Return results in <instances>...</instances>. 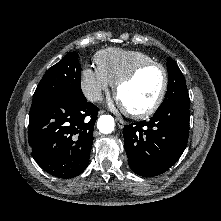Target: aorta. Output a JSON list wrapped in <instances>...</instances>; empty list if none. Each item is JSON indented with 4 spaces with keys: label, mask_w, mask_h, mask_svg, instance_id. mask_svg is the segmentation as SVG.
Segmentation results:
<instances>
[{
    "label": "aorta",
    "mask_w": 221,
    "mask_h": 221,
    "mask_svg": "<svg viewBox=\"0 0 221 221\" xmlns=\"http://www.w3.org/2000/svg\"><path fill=\"white\" fill-rule=\"evenodd\" d=\"M97 128L103 134H109L114 130V118L111 115H102L97 121Z\"/></svg>",
    "instance_id": "1"
}]
</instances>
